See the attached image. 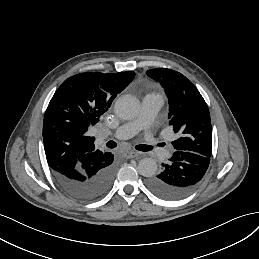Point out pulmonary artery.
Instances as JSON below:
<instances>
[{"instance_id": "e3ab8cb5", "label": "pulmonary artery", "mask_w": 259, "mask_h": 259, "mask_svg": "<svg viewBox=\"0 0 259 259\" xmlns=\"http://www.w3.org/2000/svg\"><path fill=\"white\" fill-rule=\"evenodd\" d=\"M165 103V96L163 94L150 95L142 99L138 114L123 122L115 131V135L121 138H129L141 130L149 121L159 112ZM101 139V135L97 136Z\"/></svg>"}]
</instances>
